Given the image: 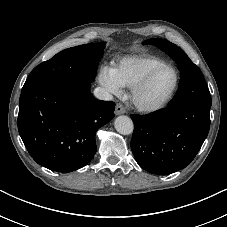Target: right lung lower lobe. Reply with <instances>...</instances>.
Wrapping results in <instances>:
<instances>
[{
	"label": "right lung lower lobe",
	"instance_id": "obj_1",
	"mask_svg": "<svg viewBox=\"0 0 227 227\" xmlns=\"http://www.w3.org/2000/svg\"><path fill=\"white\" fill-rule=\"evenodd\" d=\"M114 108V102L93 97L89 81L43 83L20 95L19 134L38 164L71 172L93 158L96 131L114 117Z\"/></svg>",
	"mask_w": 227,
	"mask_h": 227
}]
</instances>
